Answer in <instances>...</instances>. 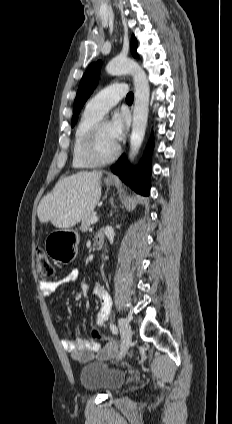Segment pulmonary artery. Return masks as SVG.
I'll return each instance as SVG.
<instances>
[{
  "instance_id": "pulmonary-artery-1",
  "label": "pulmonary artery",
  "mask_w": 232,
  "mask_h": 424,
  "mask_svg": "<svg viewBox=\"0 0 232 424\" xmlns=\"http://www.w3.org/2000/svg\"><path fill=\"white\" fill-rule=\"evenodd\" d=\"M128 92L126 84H113L97 93L87 103L86 108L103 116L109 109L115 106Z\"/></svg>"
}]
</instances>
